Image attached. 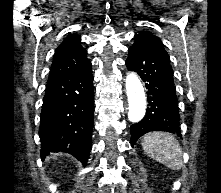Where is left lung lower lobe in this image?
I'll return each mask as SVG.
<instances>
[{
  "instance_id": "left-lung-lower-lobe-1",
  "label": "left lung lower lobe",
  "mask_w": 221,
  "mask_h": 193,
  "mask_svg": "<svg viewBox=\"0 0 221 193\" xmlns=\"http://www.w3.org/2000/svg\"><path fill=\"white\" fill-rule=\"evenodd\" d=\"M126 65L145 82L148 107L145 117L133 124L131 145L149 131H166L181 136L178 100L169 56L139 42L128 49Z\"/></svg>"
}]
</instances>
